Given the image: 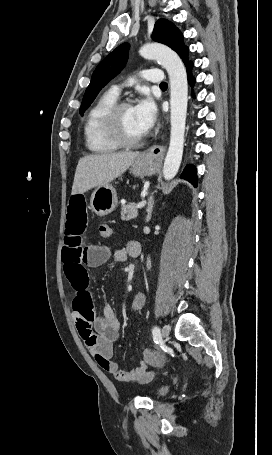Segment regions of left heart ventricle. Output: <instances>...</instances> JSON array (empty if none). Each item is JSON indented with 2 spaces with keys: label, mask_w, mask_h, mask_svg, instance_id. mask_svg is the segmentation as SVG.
Returning a JSON list of instances; mask_svg holds the SVG:
<instances>
[{
  "label": "left heart ventricle",
  "mask_w": 272,
  "mask_h": 455,
  "mask_svg": "<svg viewBox=\"0 0 272 455\" xmlns=\"http://www.w3.org/2000/svg\"><path fill=\"white\" fill-rule=\"evenodd\" d=\"M121 127L123 134L128 139H136L145 134L139 126L134 107L132 106L127 107L122 111Z\"/></svg>",
  "instance_id": "b2bd125f"
}]
</instances>
